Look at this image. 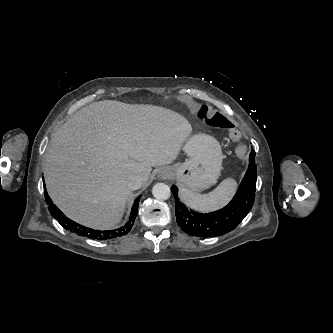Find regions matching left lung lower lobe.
Returning a JSON list of instances; mask_svg holds the SVG:
<instances>
[{"label": "left lung lower lobe", "mask_w": 333, "mask_h": 333, "mask_svg": "<svg viewBox=\"0 0 333 333\" xmlns=\"http://www.w3.org/2000/svg\"><path fill=\"white\" fill-rule=\"evenodd\" d=\"M254 157L255 151L252 150L249 167L237 193L227 206L218 211L201 214L188 210L178 199L177 187H171L176 200L177 223L183 231L197 237H213L224 235L236 228L254 204L257 180Z\"/></svg>", "instance_id": "obj_1"}]
</instances>
